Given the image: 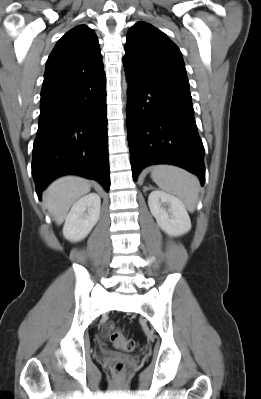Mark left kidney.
I'll list each match as a JSON object with an SVG mask.
<instances>
[{
    "mask_svg": "<svg viewBox=\"0 0 261 399\" xmlns=\"http://www.w3.org/2000/svg\"><path fill=\"white\" fill-rule=\"evenodd\" d=\"M148 205L157 225L170 236H181L191 229V220L183 202L163 191H152Z\"/></svg>",
    "mask_w": 261,
    "mask_h": 399,
    "instance_id": "1",
    "label": "left kidney"
}]
</instances>
